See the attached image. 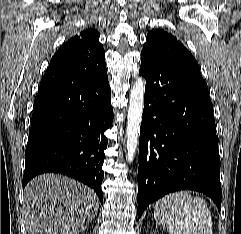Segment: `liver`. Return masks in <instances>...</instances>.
<instances>
[{
    "mask_svg": "<svg viewBox=\"0 0 241 234\" xmlns=\"http://www.w3.org/2000/svg\"><path fill=\"white\" fill-rule=\"evenodd\" d=\"M24 203L28 234H78L98 209L92 189L53 173L39 175L27 184Z\"/></svg>",
    "mask_w": 241,
    "mask_h": 234,
    "instance_id": "obj_1",
    "label": "liver"
}]
</instances>
